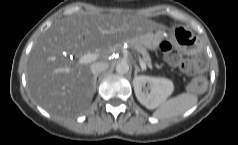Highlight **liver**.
I'll list each match as a JSON object with an SVG mask.
<instances>
[{"mask_svg":"<svg viewBox=\"0 0 238 145\" xmlns=\"http://www.w3.org/2000/svg\"><path fill=\"white\" fill-rule=\"evenodd\" d=\"M159 28L154 21L119 12L77 11L56 20L29 54L26 80L32 97L54 116L83 113L94 94L91 65L75 64L68 56L94 53L104 62L111 47Z\"/></svg>","mask_w":238,"mask_h":145,"instance_id":"liver-1","label":"liver"}]
</instances>
